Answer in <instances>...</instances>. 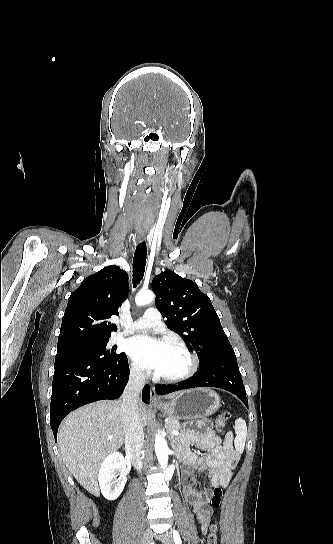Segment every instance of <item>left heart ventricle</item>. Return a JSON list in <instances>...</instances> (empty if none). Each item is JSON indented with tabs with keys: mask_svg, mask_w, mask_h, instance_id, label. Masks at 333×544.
Masks as SVG:
<instances>
[{
	"mask_svg": "<svg viewBox=\"0 0 333 544\" xmlns=\"http://www.w3.org/2000/svg\"><path fill=\"white\" fill-rule=\"evenodd\" d=\"M189 366L188 357L179 349L169 346L162 368L157 372L163 376L183 373Z\"/></svg>",
	"mask_w": 333,
	"mask_h": 544,
	"instance_id": "1",
	"label": "left heart ventricle"
}]
</instances>
